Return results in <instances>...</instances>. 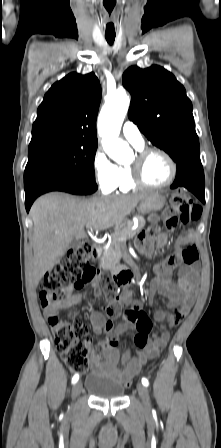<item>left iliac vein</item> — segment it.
Segmentation results:
<instances>
[{"mask_svg": "<svg viewBox=\"0 0 221 448\" xmlns=\"http://www.w3.org/2000/svg\"><path fill=\"white\" fill-rule=\"evenodd\" d=\"M137 390H138V394L142 400L144 409L146 411H149L150 410V399H149L148 389L143 384L138 383Z\"/></svg>", "mask_w": 221, "mask_h": 448, "instance_id": "4c4485c4", "label": "left iliac vein"}]
</instances>
